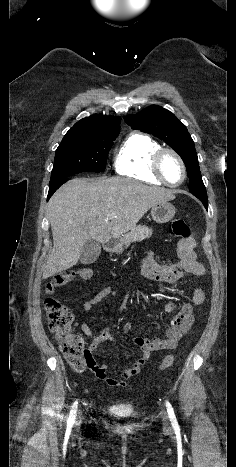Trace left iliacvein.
Here are the masks:
<instances>
[{"instance_id": "left-iliac-vein-1", "label": "left iliac vein", "mask_w": 236, "mask_h": 467, "mask_svg": "<svg viewBox=\"0 0 236 467\" xmlns=\"http://www.w3.org/2000/svg\"><path fill=\"white\" fill-rule=\"evenodd\" d=\"M163 422L166 426H169V421H168V415L166 412L163 413L162 415Z\"/></svg>"}]
</instances>
